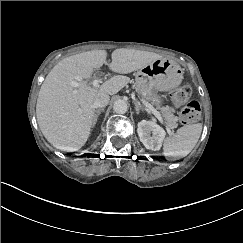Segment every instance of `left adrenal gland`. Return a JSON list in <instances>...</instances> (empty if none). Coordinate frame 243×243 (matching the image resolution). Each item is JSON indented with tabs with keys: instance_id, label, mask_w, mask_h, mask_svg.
Masks as SVG:
<instances>
[{
	"instance_id": "left-adrenal-gland-1",
	"label": "left adrenal gland",
	"mask_w": 243,
	"mask_h": 243,
	"mask_svg": "<svg viewBox=\"0 0 243 243\" xmlns=\"http://www.w3.org/2000/svg\"><path fill=\"white\" fill-rule=\"evenodd\" d=\"M136 113L139 114V110H144V106L140 105L137 101L134 102Z\"/></svg>"
}]
</instances>
